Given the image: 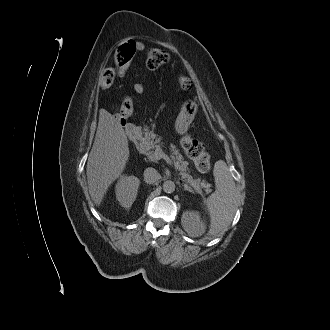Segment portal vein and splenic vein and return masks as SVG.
Here are the masks:
<instances>
[{"mask_svg": "<svg viewBox=\"0 0 330 330\" xmlns=\"http://www.w3.org/2000/svg\"><path fill=\"white\" fill-rule=\"evenodd\" d=\"M155 158L157 160H160L163 158L169 165H172L171 159L162 151L160 146H158L157 149L155 150Z\"/></svg>", "mask_w": 330, "mask_h": 330, "instance_id": "obj_1", "label": "portal vein and splenic vein"}]
</instances>
